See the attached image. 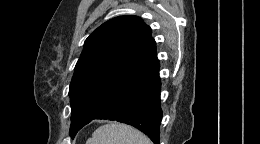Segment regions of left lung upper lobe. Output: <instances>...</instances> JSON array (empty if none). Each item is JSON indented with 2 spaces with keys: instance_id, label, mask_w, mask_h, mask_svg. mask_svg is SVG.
I'll return each instance as SVG.
<instances>
[{
  "instance_id": "left-lung-upper-lobe-1",
  "label": "left lung upper lobe",
  "mask_w": 260,
  "mask_h": 144,
  "mask_svg": "<svg viewBox=\"0 0 260 144\" xmlns=\"http://www.w3.org/2000/svg\"><path fill=\"white\" fill-rule=\"evenodd\" d=\"M151 34L140 17L119 16L85 40L69 89L71 138L92 121L126 79L157 59Z\"/></svg>"
}]
</instances>
